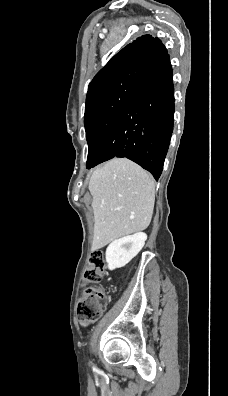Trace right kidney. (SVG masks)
I'll list each match as a JSON object with an SVG mask.
<instances>
[{"mask_svg":"<svg viewBox=\"0 0 228 396\" xmlns=\"http://www.w3.org/2000/svg\"><path fill=\"white\" fill-rule=\"evenodd\" d=\"M147 235L139 232L113 241L106 249L108 268L114 270L128 264L143 248Z\"/></svg>","mask_w":228,"mask_h":396,"instance_id":"obj_1","label":"right kidney"}]
</instances>
